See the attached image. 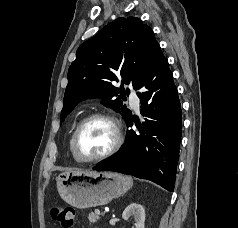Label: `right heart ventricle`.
Returning <instances> with one entry per match:
<instances>
[{"instance_id":"1","label":"right heart ventricle","mask_w":238,"mask_h":228,"mask_svg":"<svg viewBox=\"0 0 238 228\" xmlns=\"http://www.w3.org/2000/svg\"><path fill=\"white\" fill-rule=\"evenodd\" d=\"M74 130H75V128L73 129V131L71 132V134H70V136H69V140H68V144H69V149H70V151H71V153H72V148H71V146H72V137H73V133H74ZM73 155V154H72ZM74 157V156H73ZM75 159V158H74ZM76 160V159H75ZM77 161V160H76Z\"/></svg>"}]
</instances>
